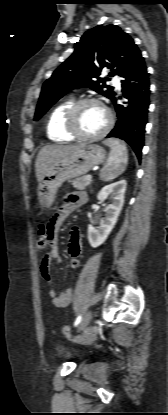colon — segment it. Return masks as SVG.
Here are the masks:
<instances>
[{
  "instance_id": "obj_1",
  "label": "colon",
  "mask_w": 168,
  "mask_h": 415,
  "mask_svg": "<svg viewBox=\"0 0 168 415\" xmlns=\"http://www.w3.org/2000/svg\"><path fill=\"white\" fill-rule=\"evenodd\" d=\"M48 242V237H47V229H46V225L45 224H41L39 226L38 229V240H37V245L40 249H43ZM98 328H93L91 330H88L87 332H85L80 339L82 340H91L96 333L98 332ZM63 334L66 336H71L72 332L70 330V328L68 326H64L63 327Z\"/></svg>"
}]
</instances>
